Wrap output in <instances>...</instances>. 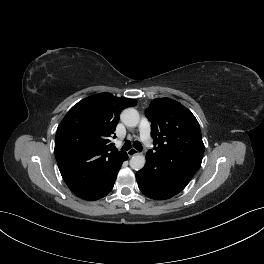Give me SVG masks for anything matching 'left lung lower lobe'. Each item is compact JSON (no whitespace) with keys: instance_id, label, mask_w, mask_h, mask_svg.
Instances as JSON below:
<instances>
[{"instance_id":"left-lung-lower-lobe-1","label":"left lung lower lobe","mask_w":264,"mask_h":264,"mask_svg":"<svg viewBox=\"0 0 264 264\" xmlns=\"http://www.w3.org/2000/svg\"><path fill=\"white\" fill-rule=\"evenodd\" d=\"M136 179L141 192L154 200L178 194L191 180L181 172L163 170L158 161L150 157H146V164L136 173Z\"/></svg>"}]
</instances>
